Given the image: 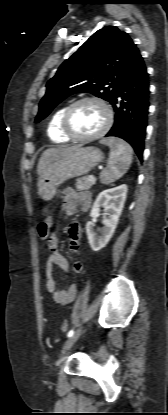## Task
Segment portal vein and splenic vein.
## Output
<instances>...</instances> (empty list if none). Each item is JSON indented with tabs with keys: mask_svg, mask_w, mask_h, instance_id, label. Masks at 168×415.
Instances as JSON below:
<instances>
[{
	"mask_svg": "<svg viewBox=\"0 0 168 415\" xmlns=\"http://www.w3.org/2000/svg\"><path fill=\"white\" fill-rule=\"evenodd\" d=\"M88 177H89L90 180H93L94 179V176L93 175H89Z\"/></svg>",
	"mask_w": 168,
	"mask_h": 415,
	"instance_id": "obj_1",
	"label": "portal vein and splenic vein"
}]
</instances>
